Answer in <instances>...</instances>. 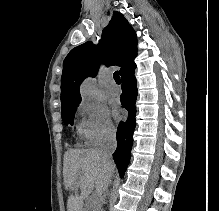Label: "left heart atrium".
I'll return each mask as SVG.
<instances>
[{
	"label": "left heart atrium",
	"instance_id": "left-heart-atrium-1",
	"mask_svg": "<svg viewBox=\"0 0 219 211\" xmlns=\"http://www.w3.org/2000/svg\"><path fill=\"white\" fill-rule=\"evenodd\" d=\"M113 113L117 119H120L123 117V111L118 106H114Z\"/></svg>",
	"mask_w": 219,
	"mask_h": 211
}]
</instances>
